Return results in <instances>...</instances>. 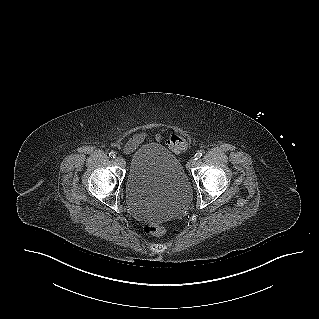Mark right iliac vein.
Wrapping results in <instances>:
<instances>
[{
	"mask_svg": "<svg viewBox=\"0 0 319 319\" xmlns=\"http://www.w3.org/2000/svg\"><path fill=\"white\" fill-rule=\"evenodd\" d=\"M115 161H116V163H117L118 165H120L121 167H124L125 164H126L125 160H124L122 157H120V156L116 157V158H115Z\"/></svg>",
	"mask_w": 319,
	"mask_h": 319,
	"instance_id": "1",
	"label": "right iliac vein"
}]
</instances>
